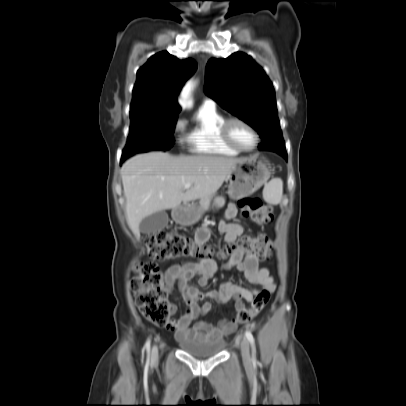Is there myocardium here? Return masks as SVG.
Here are the masks:
<instances>
[{
	"label": "myocardium",
	"instance_id": "myocardium-1",
	"mask_svg": "<svg viewBox=\"0 0 406 406\" xmlns=\"http://www.w3.org/2000/svg\"><path fill=\"white\" fill-rule=\"evenodd\" d=\"M233 123H240V124L246 126L253 133V135L255 137V142L251 148L240 147L239 145H237L234 142V140L232 139V137L230 135V127ZM220 133H221V138L225 142V144H227L229 147H231L239 152L253 151L258 146L259 140H260L259 134H258L257 130L254 128V126L252 124H250L248 121H246L240 117L226 118L221 125Z\"/></svg>",
	"mask_w": 406,
	"mask_h": 406
}]
</instances>
